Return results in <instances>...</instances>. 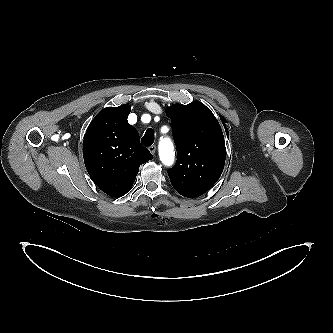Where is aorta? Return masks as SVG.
Returning a JSON list of instances; mask_svg holds the SVG:
<instances>
[{"instance_id": "762f6f07", "label": "aorta", "mask_w": 333, "mask_h": 333, "mask_svg": "<svg viewBox=\"0 0 333 333\" xmlns=\"http://www.w3.org/2000/svg\"><path fill=\"white\" fill-rule=\"evenodd\" d=\"M159 155L162 163L171 165L174 161L173 145L170 139L163 138L159 143Z\"/></svg>"}]
</instances>
